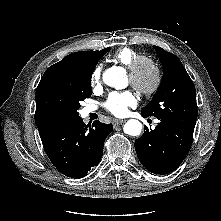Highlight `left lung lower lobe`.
I'll return each mask as SVG.
<instances>
[{
	"label": "left lung lower lobe",
	"mask_w": 221,
	"mask_h": 221,
	"mask_svg": "<svg viewBox=\"0 0 221 221\" xmlns=\"http://www.w3.org/2000/svg\"><path fill=\"white\" fill-rule=\"evenodd\" d=\"M145 130L135 141V150L142 165L160 175L174 171L191 148L194 128L160 121L154 130L149 131L146 127Z\"/></svg>",
	"instance_id": "obj_1"
}]
</instances>
